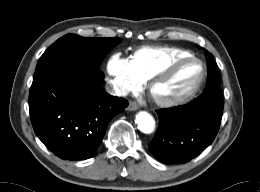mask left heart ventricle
<instances>
[{"mask_svg": "<svg viewBox=\"0 0 260 192\" xmlns=\"http://www.w3.org/2000/svg\"><path fill=\"white\" fill-rule=\"evenodd\" d=\"M199 74V65L193 63L185 64L178 68L171 76L158 83L154 87L153 93L162 99L178 96L194 85Z\"/></svg>", "mask_w": 260, "mask_h": 192, "instance_id": "b2bd125f", "label": "left heart ventricle"}]
</instances>
